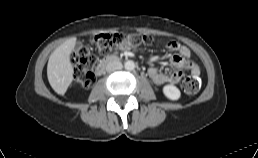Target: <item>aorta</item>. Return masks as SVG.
Instances as JSON below:
<instances>
[{
    "label": "aorta",
    "instance_id": "1",
    "mask_svg": "<svg viewBox=\"0 0 258 158\" xmlns=\"http://www.w3.org/2000/svg\"><path fill=\"white\" fill-rule=\"evenodd\" d=\"M124 67L126 70H133L135 68V63L132 60H128L125 62Z\"/></svg>",
    "mask_w": 258,
    "mask_h": 158
}]
</instances>
